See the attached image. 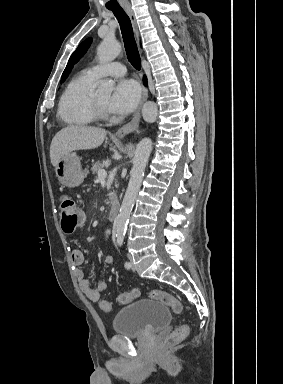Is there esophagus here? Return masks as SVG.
Masks as SVG:
<instances>
[{"label": "esophagus", "mask_w": 283, "mask_h": 384, "mask_svg": "<svg viewBox=\"0 0 283 384\" xmlns=\"http://www.w3.org/2000/svg\"><path fill=\"white\" fill-rule=\"evenodd\" d=\"M124 10L126 11V13L128 14V17L131 20L134 33L137 37V40L139 41L138 25H137V20H136L134 11L131 8V6H124ZM147 98H148V90L146 87H143L142 97L139 102L138 108L135 114L133 115L132 120L128 122V124L123 125L122 127H120V129L117 130L116 132L117 136L123 137L127 134H130V132H135V130H137L140 123V119H141V109L143 104L146 102Z\"/></svg>", "instance_id": "34e87169"}]
</instances>
